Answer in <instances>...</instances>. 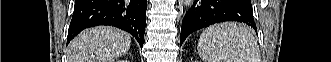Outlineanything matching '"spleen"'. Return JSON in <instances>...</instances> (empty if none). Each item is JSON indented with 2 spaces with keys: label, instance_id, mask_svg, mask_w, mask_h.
Here are the masks:
<instances>
[{
  "label": "spleen",
  "instance_id": "1",
  "mask_svg": "<svg viewBox=\"0 0 331 62\" xmlns=\"http://www.w3.org/2000/svg\"><path fill=\"white\" fill-rule=\"evenodd\" d=\"M197 50L203 62H257L259 57L254 36L233 22L206 28L200 35Z\"/></svg>",
  "mask_w": 331,
  "mask_h": 62
}]
</instances>
